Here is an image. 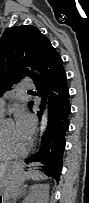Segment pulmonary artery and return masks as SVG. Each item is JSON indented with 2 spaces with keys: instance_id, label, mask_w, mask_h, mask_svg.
<instances>
[{
  "instance_id": "pulmonary-artery-1",
  "label": "pulmonary artery",
  "mask_w": 89,
  "mask_h": 203,
  "mask_svg": "<svg viewBox=\"0 0 89 203\" xmlns=\"http://www.w3.org/2000/svg\"><path fill=\"white\" fill-rule=\"evenodd\" d=\"M34 87V84L29 82L28 80H24L22 81V83L20 84L18 90L19 91H27L28 89L30 88H33ZM3 101H2V105H3Z\"/></svg>"
}]
</instances>
